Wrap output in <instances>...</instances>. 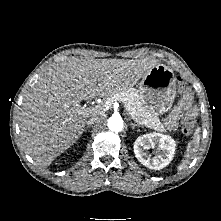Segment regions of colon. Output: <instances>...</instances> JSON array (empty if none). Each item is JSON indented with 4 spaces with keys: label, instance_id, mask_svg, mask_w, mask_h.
<instances>
[{
    "label": "colon",
    "instance_id": "colon-1",
    "mask_svg": "<svg viewBox=\"0 0 221 221\" xmlns=\"http://www.w3.org/2000/svg\"><path fill=\"white\" fill-rule=\"evenodd\" d=\"M178 87L179 91L182 94L183 98L186 100L191 99V90L189 85L182 80L180 77L178 78ZM195 121V113L193 110H187L184 117L181 121V129L185 134H190L193 130Z\"/></svg>",
    "mask_w": 221,
    "mask_h": 221
}]
</instances>
